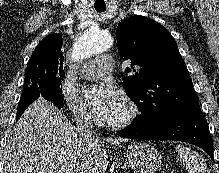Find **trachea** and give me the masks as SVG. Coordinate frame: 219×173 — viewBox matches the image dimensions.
Here are the masks:
<instances>
[{
    "instance_id": "3493384b",
    "label": "trachea",
    "mask_w": 219,
    "mask_h": 173,
    "mask_svg": "<svg viewBox=\"0 0 219 173\" xmlns=\"http://www.w3.org/2000/svg\"><path fill=\"white\" fill-rule=\"evenodd\" d=\"M95 9L97 12H104L106 10V7H97L95 6Z\"/></svg>"
}]
</instances>
